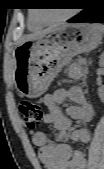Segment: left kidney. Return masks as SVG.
<instances>
[{
    "label": "left kidney",
    "mask_w": 104,
    "mask_h": 169,
    "mask_svg": "<svg viewBox=\"0 0 104 169\" xmlns=\"http://www.w3.org/2000/svg\"><path fill=\"white\" fill-rule=\"evenodd\" d=\"M100 64H101V65L103 64V59H102V58H101ZM98 94H99V97H100V98L103 97V95H104V90H103V88H99V89H98Z\"/></svg>",
    "instance_id": "obj_1"
}]
</instances>
